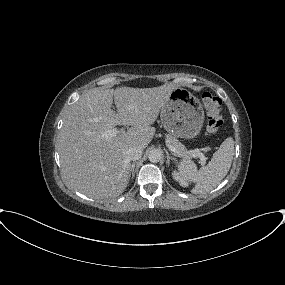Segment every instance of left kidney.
Returning a JSON list of instances; mask_svg holds the SVG:
<instances>
[{
    "label": "left kidney",
    "instance_id": "5707ae66",
    "mask_svg": "<svg viewBox=\"0 0 285 285\" xmlns=\"http://www.w3.org/2000/svg\"><path fill=\"white\" fill-rule=\"evenodd\" d=\"M172 176H173V179L179 182V184L182 187L188 186V182L182 176H180L179 173H177L175 170L172 172Z\"/></svg>",
    "mask_w": 285,
    "mask_h": 285
}]
</instances>
